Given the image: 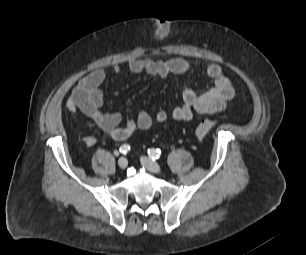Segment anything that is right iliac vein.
Returning a JSON list of instances; mask_svg holds the SVG:
<instances>
[{
    "label": "right iliac vein",
    "instance_id": "1",
    "mask_svg": "<svg viewBox=\"0 0 306 255\" xmlns=\"http://www.w3.org/2000/svg\"><path fill=\"white\" fill-rule=\"evenodd\" d=\"M127 164H128V161L125 157H121L119 160H118V166L121 168V169H125L127 167Z\"/></svg>",
    "mask_w": 306,
    "mask_h": 255
}]
</instances>
